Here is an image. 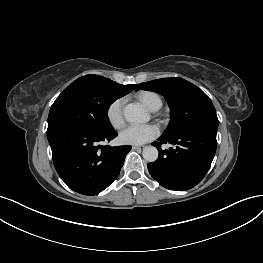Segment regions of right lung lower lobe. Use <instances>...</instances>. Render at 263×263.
<instances>
[{
    "mask_svg": "<svg viewBox=\"0 0 263 263\" xmlns=\"http://www.w3.org/2000/svg\"><path fill=\"white\" fill-rule=\"evenodd\" d=\"M54 166L72 190L92 196L106 189L119 175L131 146H101L117 136L82 128H62L47 134Z\"/></svg>",
    "mask_w": 263,
    "mask_h": 263,
    "instance_id": "obj_1",
    "label": "right lung lower lobe"
}]
</instances>
